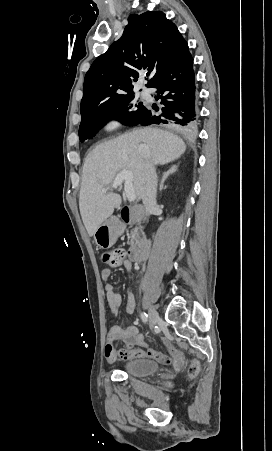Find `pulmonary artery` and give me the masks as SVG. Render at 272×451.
Here are the masks:
<instances>
[{
  "mask_svg": "<svg viewBox=\"0 0 272 451\" xmlns=\"http://www.w3.org/2000/svg\"><path fill=\"white\" fill-rule=\"evenodd\" d=\"M141 98L145 99V100H150L152 99L151 94L147 91H142L140 93Z\"/></svg>",
  "mask_w": 272,
  "mask_h": 451,
  "instance_id": "e3ab8cb5",
  "label": "pulmonary artery"
}]
</instances>
